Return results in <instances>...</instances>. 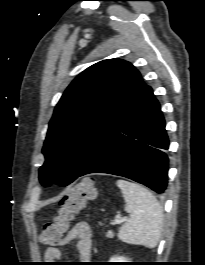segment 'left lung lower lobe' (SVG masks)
Instances as JSON below:
<instances>
[{
    "label": "left lung lower lobe",
    "instance_id": "left-lung-lower-lobe-1",
    "mask_svg": "<svg viewBox=\"0 0 205 265\" xmlns=\"http://www.w3.org/2000/svg\"><path fill=\"white\" fill-rule=\"evenodd\" d=\"M168 147L164 117L148 86L132 112L77 178L89 173H108L127 177L163 193L167 187Z\"/></svg>",
    "mask_w": 205,
    "mask_h": 265
}]
</instances>
